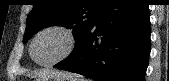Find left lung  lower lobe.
Listing matches in <instances>:
<instances>
[{"label":"left lung lower lobe","mask_w":169,"mask_h":81,"mask_svg":"<svg viewBox=\"0 0 169 81\" xmlns=\"http://www.w3.org/2000/svg\"><path fill=\"white\" fill-rule=\"evenodd\" d=\"M150 19L144 0H109L77 48L54 67L96 81H144Z\"/></svg>","instance_id":"obj_1"}]
</instances>
